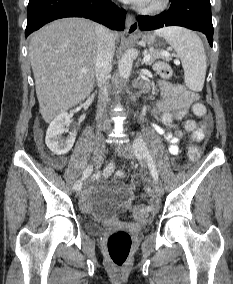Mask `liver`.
Segmentation results:
<instances>
[{"label": "liver", "mask_w": 233, "mask_h": 284, "mask_svg": "<svg viewBox=\"0 0 233 284\" xmlns=\"http://www.w3.org/2000/svg\"><path fill=\"white\" fill-rule=\"evenodd\" d=\"M96 28L97 24L87 19L64 18L32 36L29 58L46 123L90 95L95 84ZM113 35L119 40L118 33Z\"/></svg>", "instance_id": "1"}]
</instances>
